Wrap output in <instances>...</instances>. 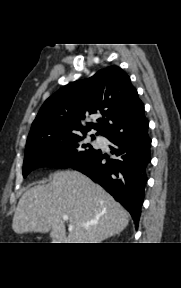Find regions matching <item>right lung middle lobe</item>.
I'll return each mask as SVG.
<instances>
[{"label": "right lung middle lobe", "instance_id": "obj_1", "mask_svg": "<svg viewBox=\"0 0 181 288\" xmlns=\"http://www.w3.org/2000/svg\"><path fill=\"white\" fill-rule=\"evenodd\" d=\"M83 135L54 133L28 140L23 176L39 167L68 168L93 155L97 149L86 143Z\"/></svg>", "mask_w": 181, "mask_h": 288}]
</instances>
